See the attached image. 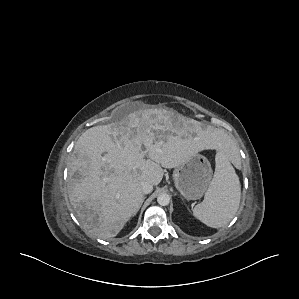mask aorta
<instances>
[{
	"label": "aorta",
	"mask_w": 299,
	"mask_h": 299,
	"mask_svg": "<svg viewBox=\"0 0 299 299\" xmlns=\"http://www.w3.org/2000/svg\"><path fill=\"white\" fill-rule=\"evenodd\" d=\"M157 202L161 206H166L170 203V196L166 193L160 194L157 197Z\"/></svg>",
	"instance_id": "1"
}]
</instances>
